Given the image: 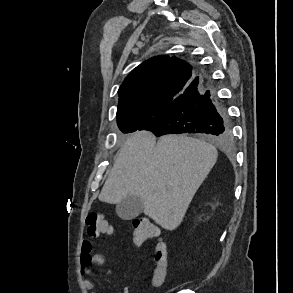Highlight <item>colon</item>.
<instances>
[{
    "instance_id": "colon-1",
    "label": "colon",
    "mask_w": 293,
    "mask_h": 293,
    "mask_svg": "<svg viewBox=\"0 0 293 293\" xmlns=\"http://www.w3.org/2000/svg\"><path fill=\"white\" fill-rule=\"evenodd\" d=\"M87 234L91 238H97L102 234L109 233L111 226L98 211H92L86 217ZM130 232L133 241L137 245L144 244L150 239H159L158 228L145 217L135 218L132 221ZM167 273V255L163 242L158 241L155 253V267L153 270L152 282L155 286H160Z\"/></svg>"
}]
</instances>
